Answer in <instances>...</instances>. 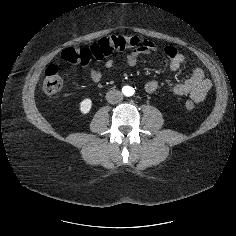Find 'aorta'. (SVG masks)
<instances>
[{"instance_id": "1", "label": "aorta", "mask_w": 236, "mask_h": 236, "mask_svg": "<svg viewBox=\"0 0 236 236\" xmlns=\"http://www.w3.org/2000/svg\"><path fill=\"white\" fill-rule=\"evenodd\" d=\"M132 92H133V88H131V87H126L125 89H124V93H125V95H131L132 94Z\"/></svg>"}]
</instances>
